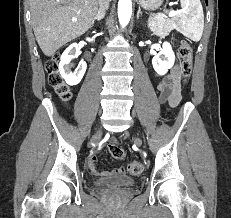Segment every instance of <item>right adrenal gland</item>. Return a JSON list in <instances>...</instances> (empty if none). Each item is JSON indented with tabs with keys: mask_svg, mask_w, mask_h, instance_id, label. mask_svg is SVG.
<instances>
[{
	"mask_svg": "<svg viewBox=\"0 0 231 218\" xmlns=\"http://www.w3.org/2000/svg\"><path fill=\"white\" fill-rule=\"evenodd\" d=\"M104 18V15H101V16H97V17H95V19H94V21H100L101 19H103ZM94 21H93V24H94Z\"/></svg>",
	"mask_w": 231,
	"mask_h": 218,
	"instance_id": "2a0ac1e0",
	"label": "right adrenal gland"
}]
</instances>
